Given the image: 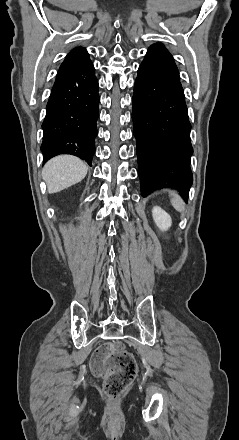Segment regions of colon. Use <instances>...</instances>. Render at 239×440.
Segmentation results:
<instances>
[{
	"label": "colon",
	"instance_id": "1",
	"mask_svg": "<svg viewBox=\"0 0 239 440\" xmlns=\"http://www.w3.org/2000/svg\"><path fill=\"white\" fill-rule=\"evenodd\" d=\"M91 368L104 380L106 393L119 396L133 381L137 363L134 356L117 343L99 347L93 354Z\"/></svg>",
	"mask_w": 239,
	"mask_h": 440
}]
</instances>
